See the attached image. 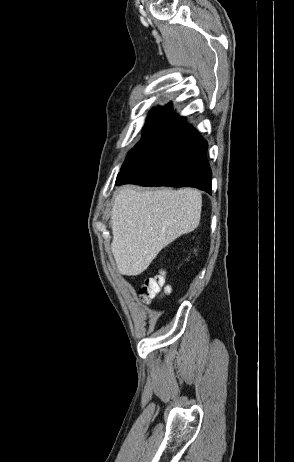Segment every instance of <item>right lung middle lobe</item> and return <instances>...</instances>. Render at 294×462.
<instances>
[{
    "instance_id": "obj_1",
    "label": "right lung middle lobe",
    "mask_w": 294,
    "mask_h": 462,
    "mask_svg": "<svg viewBox=\"0 0 294 462\" xmlns=\"http://www.w3.org/2000/svg\"><path fill=\"white\" fill-rule=\"evenodd\" d=\"M179 116L172 114V104L157 107L149 113L141 141L128 153L121 170L124 169L142 150L157 141L176 122Z\"/></svg>"
}]
</instances>
